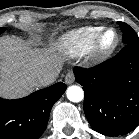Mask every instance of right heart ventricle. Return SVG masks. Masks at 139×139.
Segmentation results:
<instances>
[{"label": "right heart ventricle", "instance_id": "right-heart-ventricle-1", "mask_svg": "<svg viewBox=\"0 0 139 139\" xmlns=\"http://www.w3.org/2000/svg\"><path fill=\"white\" fill-rule=\"evenodd\" d=\"M102 26H85L64 34L58 42V47L71 57H79L90 51L96 35Z\"/></svg>", "mask_w": 139, "mask_h": 139}]
</instances>
